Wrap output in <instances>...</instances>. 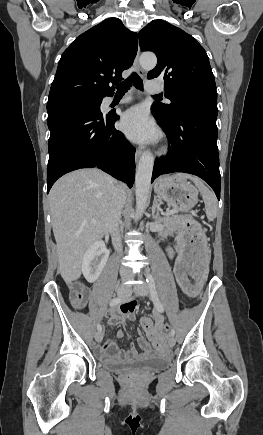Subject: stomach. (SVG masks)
Instances as JSON below:
<instances>
[{"label":"stomach","instance_id":"obj_1","mask_svg":"<svg viewBox=\"0 0 263 435\" xmlns=\"http://www.w3.org/2000/svg\"><path fill=\"white\" fill-rule=\"evenodd\" d=\"M155 193L163 200L177 206V209H192L197 203L198 194L186 180L174 176H165L157 180ZM185 224H176L179 246L183 247V260L177 262L174 277L178 288L187 299L201 294V288L207 287L206 262L209 261V240L204 233V224H199L198 216H186Z\"/></svg>","mask_w":263,"mask_h":435}]
</instances>
